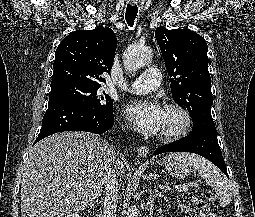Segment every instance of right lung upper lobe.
Masks as SVG:
<instances>
[{"label": "right lung upper lobe", "mask_w": 255, "mask_h": 217, "mask_svg": "<svg viewBox=\"0 0 255 217\" xmlns=\"http://www.w3.org/2000/svg\"><path fill=\"white\" fill-rule=\"evenodd\" d=\"M117 38L108 27L76 30L65 37L55 52L51 87L80 84L101 87L103 73L111 71Z\"/></svg>", "instance_id": "right-lung-upper-lobe-1"}]
</instances>
